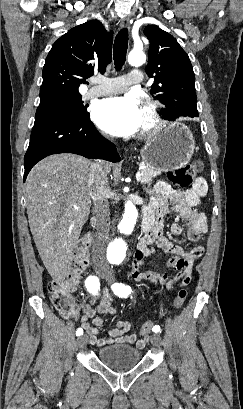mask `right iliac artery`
Segmentation results:
<instances>
[{
    "label": "right iliac artery",
    "mask_w": 243,
    "mask_h": 409,
    "mask_svg": "<svg viewBox=\"0 0 243 409\" xmlns=\"http://www.w3.org/2000/svg\"><path fill=\"white\" fill-rule=\"evenodd\" d=\"M85 286L89 292L92 294H98V290L100 289L99 279L96 276H89L85 281ZM83 334V329L78 328L76 331V335L80 336Z\"/></svg>",
    "instance_id": "1"
}]
</instances>
